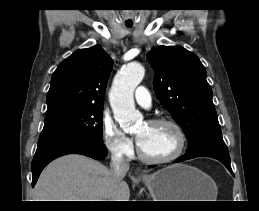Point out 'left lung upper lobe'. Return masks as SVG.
Returning <instances> with one entry per match:
<instances>
[{"label": "left lung upper lobe", "mask_w": 259, "mask_h": 211, "mask_svg": "<svg viewBox=\"0 0 259 211\" xmlns=\"http://www.w3.org/2000/svg\"><path fill=\"white\" fill-rule=\"evenodd\" d=\"M147 58L155 71L158 99L187 135L186 154L203 149L228 152L199 58L181 46L155 47Z\"/></svg>", "instance_id": "1"}]
</instances>
